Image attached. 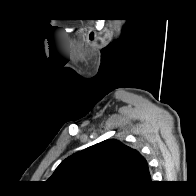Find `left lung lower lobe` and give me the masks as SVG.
<instances>
[{"label": "left lung lower lobe", "instance_id": "0a47b994", "mask_svg": "<svg viewBox=\"0 0 196 196\" xmlns=\"http://www.w3.org/2000/svg\"><path fill=\"white\" fill-rule=\"evenodd\" d=\"M148 182H150V177H149V179H148V181L146 183H148Z\"/></svg>", "mask_w": 196, "mask_h": 196}]
</instances>
